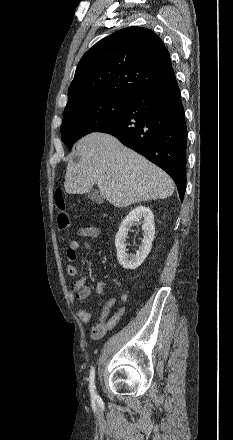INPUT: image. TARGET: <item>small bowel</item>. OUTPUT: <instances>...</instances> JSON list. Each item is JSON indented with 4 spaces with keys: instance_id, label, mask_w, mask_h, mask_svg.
I'll list each match as a JSON object with an SVG mask.
<instances>
[{
    "instance_id": "c3829d8e",
    "label": "small bowel",
    "mask_w": 233,
    "mask_h": 440,
    "mask_svg": "<svg viewBox=\"0 0 233 440\" xmlns=\"http://www.w3.org/2000/svg\"><path fill=\"white\" fill-rule=\"evenodd\" d=\"M99 235V229L95 226L89 225L80 228L76 237L73 238L67 249V272L74 278L70 284V298L71 300L84 301L90 296V289L86 285V277L80 276L77 267L74 265L73 261L76 257L78 249L80 247V241L84 243V247L87 251H90L91 245L88 239H94ZM106 287V282H99L96 285V291L99 295L104 294V289ZM121 300L123 303L127 300V293L122 292ZM116 299L114 297H108L106 299L105 305L95 323L90 331V336L93 339H99L103 337L106 333L114 328L118 323L124 313V307L119 308L113 315H109L110 310L115 306ZM77 315L79 319L83 322H90L93 315L84 308L78 309Z\"/></svg>"
}]
</instances>
